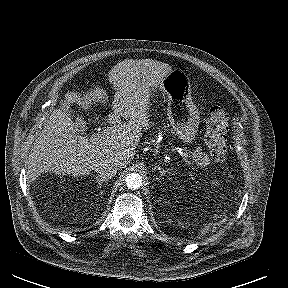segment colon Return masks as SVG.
I'll use <instances>...</instances> for the list:
<instances>
[{"mask_svg":"<svg viewBox=\"0 0 288 288\" xmlns=\"http://www.w3.org/2000/svg\"><path fill=\"white\" fill-rule=\"evenodd\" d=\"M229 115L219 106L213 107L206 120L204 141L210 155L216 162H223L227 157L226 132L228 130Z\"/></svg>","mask_w":288,"mask_h":288,"instance_id":"1","label":"colon"}]
</instances>
